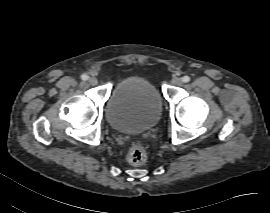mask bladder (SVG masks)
Wrapping results in <instances>:
<instances>
[{"instance_id": "1", "label": "bladder", "mask_w": 270, "mask_h": 213, "mask_svg": "<svg viewBox=\"0 0 270 213\" xmlns=\"http://www.w3.org/2000/svg\"><path fill=\"white\" fill-rule=\"evenodd\" d=\"M160 93L143 76L127 77L110 91L105 103V117L115 131L130 134L152 129L161 117Z\"/></svg>"}]
</instances>
